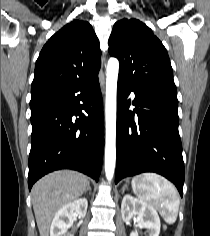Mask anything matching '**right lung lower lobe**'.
Returning a JSON list of instances; mask_svg holds the SVG:
<instances>
[{
  "instance_id": "right-lung-lower-lobe-1",
  "label": "right lung lower lobe",
  "mask_w": 210,
  "mask_h": 236,
  "mask_svg": "<svg viewBox=\"0 0 210 236\" xmlns=\"http://www.w3.org/2000/svg\"><path fill=\"white\" fill-rule=\"evenodd\" d=\"M31 123L29 190L39 178L58 169H74L98 181L104 149L98 74L31 106Z\"/></svg>"
}]
</instances>
